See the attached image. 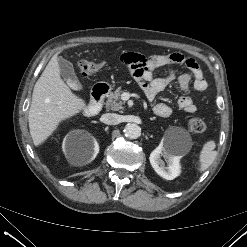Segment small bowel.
<instances>
[{
	"label": "small bowel",
	"mask_w": 247,
	"mask_h": 247,
	"mask_svg": "<svg viewBox=\"0 0 247 247\" xmlns=\"http://www.w3.org/2000/svg\"><path fill=\"white\" fill-rule=\"evenodd\" d=\"M121 62L127 66L134 79L140 84L148 100L153 101L157 94L164 90L171 81L177 78L179 88L186 93L178 99V106L187 113H194L196 106L192 97L188 94L190 85L194 90L202 92L207 88V82L198 63L193 58H188L181 53L155 54L144 57L137 53H126L121 56ZM184 64L189 73H183L176 77L173 70H169L163 77H155L154 72L162 67ZM154 113L162 118L169 117L172 109L165 103H157Z\"/></svg>",
	"instance_id": "c3829d8e"
}]
</instances>
